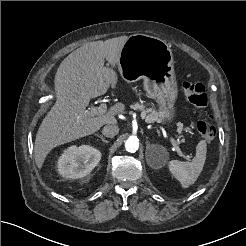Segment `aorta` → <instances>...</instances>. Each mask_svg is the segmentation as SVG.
I'll return each instance as SVG.
<instances>
[{
	"instance_id": "1",
	"label": "aorta",
	"mask_w": 246,
	"mask_h": 246,
	"mask_svg": "<svg viewBox=\"0 0 246 246\" xmlns=\"http://www.w3.org/2000/svg\"><path fill=\"white\" fill-rule=\"evenodd\" d=\"M125 149L128 152L134 153L139 149V141L136 138L130 137L125 141Z\"/></svg>"
}]
</instances>
